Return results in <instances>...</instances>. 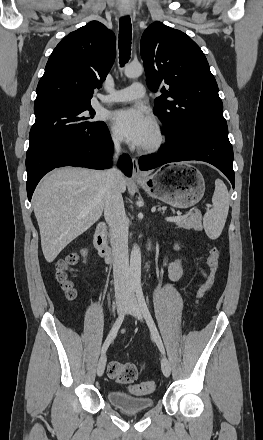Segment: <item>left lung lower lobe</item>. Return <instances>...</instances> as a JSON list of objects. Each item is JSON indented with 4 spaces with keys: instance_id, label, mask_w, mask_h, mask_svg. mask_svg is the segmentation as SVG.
I'll return each mask as SVG.
<instances>
[{
    "instance_id": "1",
    "label": "left lung lower lobe",
    "mask_w": 263,
    "mask_h": 440,
    "mask_svg": "<svg viewBox=\"0 0 263 440\" xmlns=\"http://www.w3.org/2000/svg\"><path fill=\"white\" fill-rule=\"evenodd\" d=\"M165 134L168 138L167 143L157 154L139 158L141 170H150L177 161H204L222 171L234 188L233 148L228 139L227 125L215 126L202 131L198 140L186 148H181L175 142L176 138L171 132H165Z\"/></svg>"
}]
</instances>
